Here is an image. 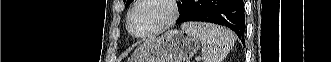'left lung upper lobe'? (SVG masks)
<instances>
[{
  "instance_id": "1",
  "label": "left lung upper lobe",
  "mask_w": 331,
  "mask_h": 62,
  "mask_svg": "<svg viewBox=\"0 0 331 62\" xmlns=\"http://www.w3.org/2000/svg\"><path fill=\"white\" fill-rule=\"evenodd\" d=\"M126 2V6L129 5L133 0H123ZM187 0H181V6L183 7L186 4ZM180 6V8H181Z\"/></svg>"
}]
</instances>
